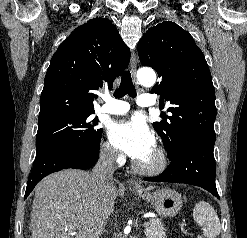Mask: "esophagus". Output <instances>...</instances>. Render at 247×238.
<instances>
[{
    "label": "esophagus",
    "instance_id": "esophagus-1",
    "mask_svg": "<svg viewBox=\"0 0 247 238\" xmlns=\"http://www.w3.org/2000/svg\"><path fill=\"white\" fill-rule=\"evenodd\" d=\"M136 70H137L136 56H135L134 53H132L131 59H130V71H131V75H132L133 80H134L135 83H137V81H136ZM129 182L134 187H137V188L140 187V183L135 179H130Z\"/></svg>",
    "mask_w": 247,
    "mask_h": 238
}]
</instances>
